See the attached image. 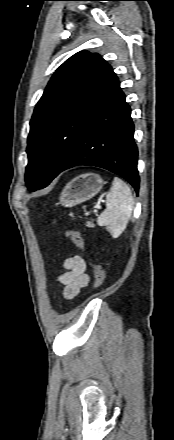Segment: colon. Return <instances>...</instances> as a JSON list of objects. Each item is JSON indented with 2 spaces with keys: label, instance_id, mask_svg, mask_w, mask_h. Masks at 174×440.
<instances>
[{
  "label": "colon",
  "instance_id": "5ec220e1",
  "mask_svg": "<svg viewBox=\"0 0 174 440\" xmlns=\"http://www.w3.org/2000/svg\"><path fill=\"white\" fill-rule=\"evenodd\" d=\"M65 236L68 237L74 245L79 248H84V239L79 232L74 229L68 228L65 230ZM92 270L94 275V288H100L105 280V274L102 268L97 264H92Z\"/></svg>",
  "mask_w": 174,
  "mask_h": 440
}]
</instances>
